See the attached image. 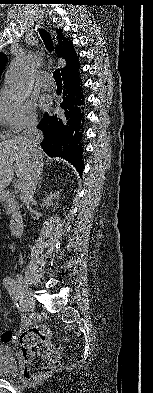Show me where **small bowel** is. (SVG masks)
Instances as JSON below:
<instances>
[{
    "label": "small bowel",
    "mask_w": 153,
    "mask_h": 393,
    "mask_svg": "<svg viewBox=\"0 0 153 393\" xmlns=\"http://www.w3.org/2000/svg\"><path fill=\"white\" fill-rule=\"evenodd\" d=\"M0 296H1V289H0ZM23 326H25L27 324V320H23L22 321ZM13 337V333L11 331H5L1 336H0V340L2 342H8L9 340H11Z\"/></svg>",
    "instance_id": "1"
}]
</instances>
